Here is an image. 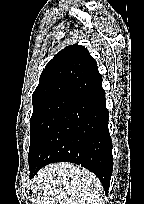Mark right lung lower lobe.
Here are the masks:
<instances>
[{"label": "right lung lower lobe", "mask_w": 144, "mask_h": 204, "mask_svg": "<svg viewBox=\"0 0 144 204\" xmlns=\"http://www.w3.org/2000/svg\"><path fill=\"white\" fill-rule=\"evenodd\" d=\"M108 120L102 84L76 96L29 167L30 178L49 163L67 161L93 172L108 193L113 168Z\"/></svg>", "instance_id": "98d812e1"}]
</instances>
